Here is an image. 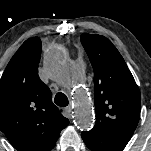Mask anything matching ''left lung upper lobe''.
Wrapping results in <instances>:
<instances>
[{
	"mask_svg": "<svg viewBox=\"0 0 151 151\" xmlns=\"http://www.w3.org/2000/svg\"><path fill=\"white\" fill-rule=\"evenodd\" d=\"M94 70L96 122L92 131L131 137L140 118L139 88L123 57L102 35L82 34Z\"/></svg>",
	"mask_w": 151,
	"mask_h": 151,
	"instance_id": "left-lung-upper-lobe-1",
	"label": "left lung upper lobe"
}]
</instances>
